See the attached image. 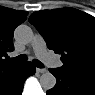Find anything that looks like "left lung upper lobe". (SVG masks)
<instances>
[{
	"label": "left lung upper lobe",
	"mask_w": 95,
	"mask_h": 95,
	"mask_svg": "<svg viewBox=\"0 0 95 95\" xmlns=\"http://www.w3.org/2000/svg\"><path fill=\"white\" fill-rule=\"evenodd\" d=\"M29 22L45 39L49 49L61 54L69 73L95 78V18L73 8L34 12Z\"/></svg>",
	"instance_id": "obj_1"
}]
</instances>
